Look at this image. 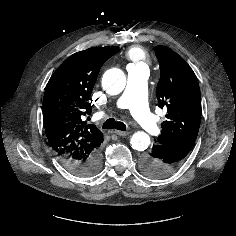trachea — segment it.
<instances>
[{"instance_id": "obj_1", "label": "trachea", "mask_w": 236, "mask_h": 236, "mask_svg": "<svg viewBox=\"0 0 236 236\" xmlns=\"http://www.w3.org/2000/svg\"><path fill=\"white\" fill-rule=\"evenodd\" d=\"M103 129H117L120 131H126V125L123 122L116 121L114 118L107 119L103 125Z\"/></svg>"}]
</instances>
